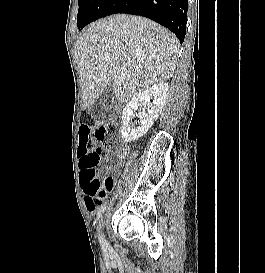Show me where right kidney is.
<instances>
[{
    "label": "right kidney",
    "mask_w": 265,
    "mask_h": 273,
    "mask_svg": "<svg viewBox=\"0 0 265 273\" xmlns=\"http://www.w3.org/2000/svg\"><path fill=\"white\" fill-rule=\"evenodd\" d=\"M169 85L166 82H159L150 88L139 92L129 101L122 112L121 135L125 142L135 141L147 133L153 123L157 120L167 100ZM152 99V101H151ZM142 108L139 115L140 125L131 128L130 119L138 108ZM148 107V111L145 108Z\"/></svg>",
    "instance_id": "right-kidney-1"
}]
</instances>
